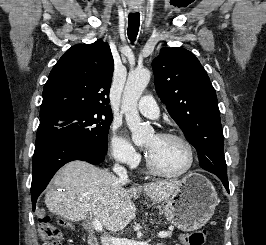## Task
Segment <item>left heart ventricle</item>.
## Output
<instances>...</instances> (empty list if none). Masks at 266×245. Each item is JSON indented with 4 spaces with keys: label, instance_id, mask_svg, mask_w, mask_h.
<instances>
[{
    "label": "left heart ventricle",
    "instance_id": "b2bd125f",
    "mask_svg": "<svg viewBox=\"0 0 266 245\" xmlns=\"http://www.w3.org/2000/svg\"><path fill=\"white\" fill-rule=\"evenodd\" d=\"M146 145L150 147L148 157L158 171L177 174L185 169L188 163V151L180 141L151 136L147 139Z\"/></svg>",
    "mask_w": 266,
    "mask_h": 245
}]
</instances>
